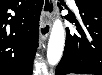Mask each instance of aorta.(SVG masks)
Listing matches in <instances>:
<instances>
[{"label": "aorta", "mask_w": 102, "mask_h": 75, "mask_svg": "<svg viewBox=\"0 0 102 75\" xmlns=\"http://www.w3.org/2000/svg\"><path fill=\"white\" fill-rule=\"evenodd\" d=\"M65 43V29L62 22L57 19L53 23L48 48L47 61L50 65H56L62 56Z\"/></svg>", "instance_id": "762f6f07"}]
</instances>
